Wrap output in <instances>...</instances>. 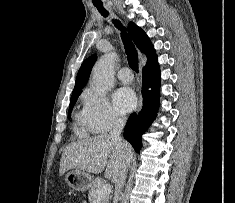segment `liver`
Wrapping results in <instances>:
<instances>
[{"instance_id": "1", "label": "liver", "mask_w": 235, "mask_h": 203, "mask_svg": "<svg viewBox=\"0 0 235 203\" xmlns=\"http://www.w3.org/2000/svg\"><path fill=\"white\" fill-rule=\"evenodd\" d=\"M132 156V147L127 142L123 145L108 134H100L69 144L61 157L59 175L71 169L99 174L106 168L105 177L115 183Z\"/></svg>"}]
</instances>
